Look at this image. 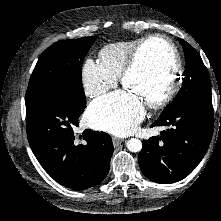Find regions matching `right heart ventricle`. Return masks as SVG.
Masks as SVG:
<instances>
[{"instance_id":"obj_1","label":"right heart ventricle","mask_w":221,"mask_h":221,"mask_svg":"<svg viewBox=\"0 0 221 221\" xmlns=\"http://www.w3.org/2000/svg\"><path fill=\"white\" fill-rule=\"evenodd\" d=\"M119 41L106 45L99 53L98 64L109 77L118 79L134 46L142 39Z\"/></svg>"}]
</instances>
